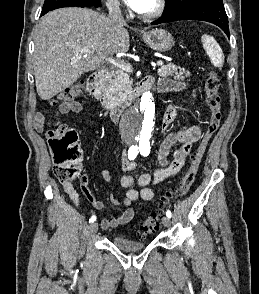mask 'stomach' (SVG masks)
I'll return each mask as SVG.
<instances>
[{"instance_id":"1","label":"stomach","mask_w":259,"mask_h":294,"mask_svg":"<svg viewBox=\"0 0 259 294\" xmlns=\"http://www.w3.org/2000/svg\"><path fill=\"white\" fill-rule=\"evenodd\" d=\"M144 42L154 51L164 53L174 46L172 35L164 29L143 32Z\"/></svg>"}]
</instances>
